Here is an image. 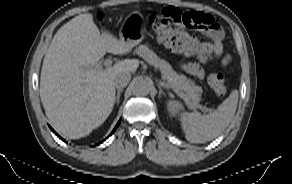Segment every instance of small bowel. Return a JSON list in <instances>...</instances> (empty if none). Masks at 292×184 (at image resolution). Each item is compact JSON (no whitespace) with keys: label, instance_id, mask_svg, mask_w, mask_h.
I'll return each instance as SVG.
<instances>
[{"label":"small bowel","instance_id":"obj_1","mask_svg":"<svg viewBox=\"0 0 292 184\" xmlns=\"http://www.w3.org/2000/svg\"><path fill=\"white\" fill-rule=\"evenodd\" d=\"M212 21V26L200 28L201 31L213 42L216 58H221L223 66L229 64L231 57L229 55L223 56V38L224 33L219 24L210 15H207ZM182 69L191 76L202 79L205 76L204 69L195 62L182 63Z\"/></svg>","mask_w":292,"mask_h":184}]
</instances>
